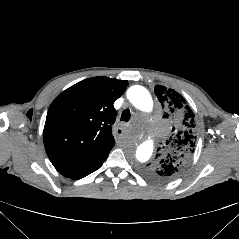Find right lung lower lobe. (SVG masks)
I'll use <instances>...</instances> for the list:
<instances>
[{
	"label": "right lung lower lobe",
	"instance_id": "1",
	"mask_svg": "<svg viewBox=\"0 0 239 239\" xmlns=\"http://www.w3.org/2000/svg\"><path fill=\"white\" fill-rule=\"evenodd\" d=\"M110 152V151H109ZM108 153H106L104 156H102L101 158H99L96 162H94L92 165H90L88 168L82 170L81 172L76 173L75 175L69 177L71 179H80L83 178L87 175H89L90 173L94 172L95 170H97L102 164L103 162L106 160V158L108 157Z\"/></svg>",
	"mask_w": 239,
	"mask_h": 239
}]
</instances>
